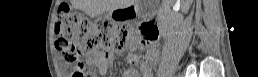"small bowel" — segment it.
I'll list each match as a JSON object with an SVG mask.
<instances>
[{
  "instance_id": "c3829d8e",
  "label": "small bowel",
  "mask_w": 258,
  "mask_h": 77,
  "mask_svg": "<svg viewBox=\"0 0 258 77\" xmlns=\"http://www.w3.org/2000/svg\"><path fill=\"white\" fill-rule=\"evenodd\" d=\"M86 58L88 63L96 65L102 72H106L108 68L115 64V55L111 52H107L105 54H88ZM130 58H134L135 64L140 67V70H130L127 73V77H149L152 73L150 65L156 62L158 51L155 48H151L147 52L142 63H140L138 58L135 56H131Z\"/></svg>"
}]
</instances>
